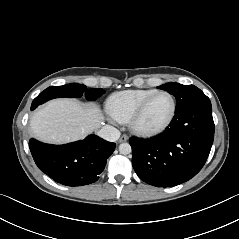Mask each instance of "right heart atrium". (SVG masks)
Listing matches in <instances>:
<instances>
[{
  "instance_id": "right-heart-atrium-1",
  "label": "right heart atrium",
  "mask_w": 239,
  "mask_h": 239,
  "mask_svg": "<svg viewBox=\"0 0 239 239\" xmlns=\"http://www.w3.org/2000/svg\"><path fill=\"white\" fill-rule=\"evenodd\" d=\"M110 120H111V122H113V123L119 122V121H117L115 118H113L112 116H110Z\"/></svg>"
}]
</instances>
